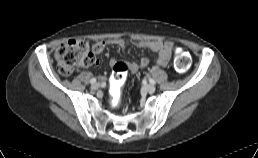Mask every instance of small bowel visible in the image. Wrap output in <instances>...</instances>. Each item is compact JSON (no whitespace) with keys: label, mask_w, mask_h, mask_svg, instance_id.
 Segmentation results:
<instances>
[{"label":"small bowel","mask_w":258,"mask_h":158,"mask_svg":"<svg viewBox=\"0 0 258 158\" xmlns=\"http://www.w3.org/2000/svg\"><path fill=\"white\" fill-rule=\"evenodd\" d=\"M136 46L140 48H147L151 51L157 52L158 56L156 59V63L160 66H167L173 50V42L165 41V40H136L133 42ZM109 46H118L122 50H124L127 46V42L123 39L112 38L108 40L97 41L92 46V52L94 54L102 53ZM117 61L115 59L110 60L111 66H113ZM149 64V59L147 57H142L139 63H129V70L131 72H136L139 69H143L147 67Z\"/></svg>","instance_id":"1"}]
</instances>
